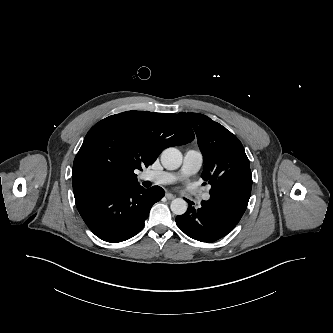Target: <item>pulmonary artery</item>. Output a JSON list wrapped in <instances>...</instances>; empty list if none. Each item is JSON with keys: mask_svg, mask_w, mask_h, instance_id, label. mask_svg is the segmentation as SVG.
<instances>
[{"mask_svg": "<svg viewBox=\"0 0 333 333\" xmlns=\"http://www.w3.org/2000/svg\"><path fill=\"white\" fill-rule=\"evenodd\" d=\"M203 164V155L200 151L190 149L184 153L183 163L178 172L167 171H145L139 178L144 181H150L155 184H171L183 177L196 174ZM202 199L209 200V192L202 194Z\"/></svg>", "mask_w": 333, "mask_h": 333, "instance_id": "e3ab8cb5", "label": "pulmonary artery"}]
</instances>
